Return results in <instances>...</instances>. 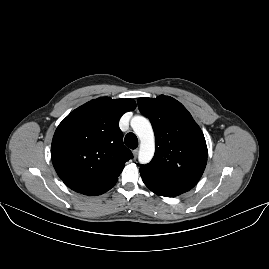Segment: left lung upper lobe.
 <instances>
[{
  "mask_svg": "<svg viewBox=\"0 0 269 269\" xmlns=\"http://www.w3.org/2000/svg\"><path fill=\"white\" fill-rule=\"evenodd\" d=\"M138 108L150 119L156 136L155 156L140 171L196 185L206 167L208 152L204 135L191 114L179 101L165 95L139 98Z\"/></svg>",
  "mask_w": 269,
  "mask_h": 269,
  "instance_id": "5c2ea615",
  "label": "left lung upper lobe"
}]
</instances>
